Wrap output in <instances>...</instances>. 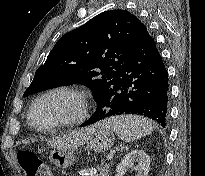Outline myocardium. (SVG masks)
Here are the masks:
<instances>
[{"label":"myocardium","instance_id":"myocardium-1","mask_svg":"<svg viewBox=\"0 0 205 176\" xmlns=\"http://www.w3.org/2000/svg\"><path fill=\"white\" fill-rule=\"evenodd\" d=\"M63 95L72 99L76 105V111L73 115L66 117L54 124L48 126H38L33 122V114L36 107L46 99L56 96ZM88 116V102L84 94L70 86H57L53 87L41 95H39L32 103L28 112V122L32 128L38 131H49L56 128H62L67 126H76L85 121Z\"/></svg>","mask_w":205,"mask_h":176}]
</instances>
